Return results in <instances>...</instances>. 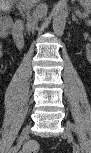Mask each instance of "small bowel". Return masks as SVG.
<instances>
[{
    "label": "small bowel",
    "instance_id": "small-bowel-1",
    "mask_svg": "<svg viewBox=\"0 0 91 153\" xmlns=\"http://www.w3.org/2000/svg\"><path fill=\"white\" fill-rule=\"evenodd\" d=\"M0 33H1L2 36H5L7 34V30H5L1 27V32Z\"/></svg>",
    "mask_w": 91,
    "mask_h": 153
}]
</instances>
